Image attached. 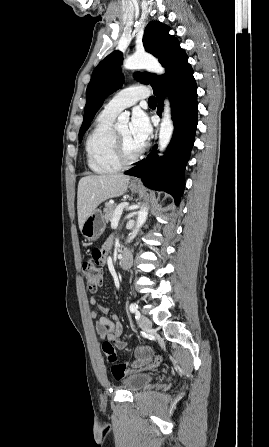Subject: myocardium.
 I'll return each instance as SVG.
<instances>
[{"label":"myocardium","mask_w":269,"mask_h":447,"mask_svg":"<svg viewBox=\"0 0 269 447\" xmlns=\"http://www.w3.org/2000/svg\"><path fill=\"white\" fill-rule=\"evenodd\" d=\"M112 145L114 158L120 166H129L137 162L143 156L146 150V147L144 145L139 153L134 156H129L116 131H113Z\"/></svg>","instance_id":"myocardium-1"}]
</instances>
